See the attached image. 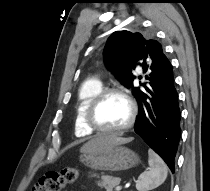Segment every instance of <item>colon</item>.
I'll return each instance as SVG.
<instances>
[{"instance_id":"1","label":"colon","mask_w":210,"mask_h":191,"mask_svg":"<svg viewBox=\"0 0 210 191\" xmlns=\"http://www.w3.org/2000/svg\"><path fill=\"white\" fill-rule=\"evenodd\" d=\"M79 176L74 167H67L60 171L45 173L34 185L32 191H61L65 186L73 184Z\"/></svg>"}]
</instances>
